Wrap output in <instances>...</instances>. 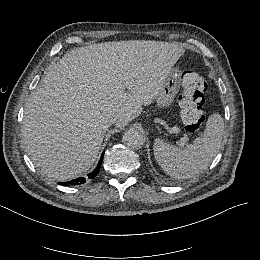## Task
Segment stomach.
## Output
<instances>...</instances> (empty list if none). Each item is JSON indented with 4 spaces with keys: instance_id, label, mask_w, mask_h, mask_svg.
<instances>
[{
    "instance_id": "stomach-1",
    "label": "stomach",
    "mask_w": 260,
    "mask_h": 260,
    "mask_svg": "<svg viewBox=\"0 0 260 260\" xmlns=\"http://www.w3.org/2000/svg\"><path fill=\"white\" fill-rule=\"evenodd\" d=\"M180 82L181 72L177 69L171 70L156 98L155 107L158 110H166L173 106L174 99L180 90Z\"/></svg>"
}]
</instances>
